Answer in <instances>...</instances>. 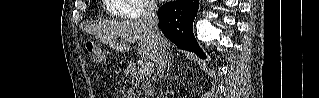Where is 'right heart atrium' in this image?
<instances>
[{
	"instance_id": "d8ad5b80",
	"label": "right heart atrium",
	"mask_w": 319,
	"mask_h": 98,
	"mask_svg": "<svg viewBox=\"0 0 319 98\" xmlns=\"http://www.w3.org/2000/svg\"><path fill=\"white\" fill-rule=\"evenodd\" d=\"M128 6L122 12L124 18H140L150 15L156 11V8L145 0H125Z\"/></svg>"
}]
</instances>
